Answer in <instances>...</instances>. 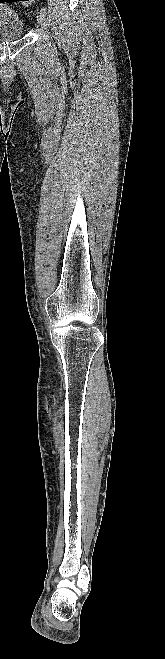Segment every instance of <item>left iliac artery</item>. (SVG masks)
<instances>
[{
    "instance_id": "1",
    "label": "left iliac artery",
    "mask_w": 165,
    "mask_h": 659,
    "mask_svg": "<svg viewBox=\"0 0 165 659\" xmlns=\"http://www.w3.org/2000/svg\"><path fill=\"white\" fill-rule=\"evenodd\" d=\"M40 11L43 12L44 14H47V9L45 7H41Z\"/></svg>"
}]
</instances>
